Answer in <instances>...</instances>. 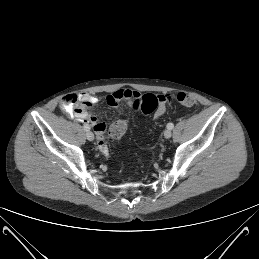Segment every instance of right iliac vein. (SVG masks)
<instances>
[{"label":"right iliac vein","mask_w":259,"mask_h":259,"mask_svg":"<svg viewBox=\"0 0 259 259\" xmlns=\"http://www.w3.org/2000/svg\"><path fill=\"white\" fill-rule=\"evenodd\" d=\"M86 137L89 141H93L94 140V134L91 131H87L86 132Z\"/></svg>","instance_id":"right-iliac-vein-1"}]
</instances>
